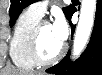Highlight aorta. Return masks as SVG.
Returning <instances> with one entry per match:
<instances>
[{
  "label": "aorta",
  "instance_id": "obj_1",
  "mask_svg": "<svg viewBox=\"0 0 102 75\" xmlns=\"http://www.w3.org/2000/svg\"><path fill=\"white\" fill-rule=\"evenodd\" d=\"M96 3V0H82L79 22L74 37L73 58H77L81 54L88 42L94 24Z\"/></svg>",
  "mask_w": 102,
  "mask_h": 75
}]
</instances>
